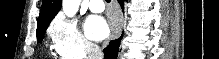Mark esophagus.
<instances>
[{
    "label": "esophagus",
    "mask_w": 219,
    "mask_h": 59,
    "mask_svg": "<svg viewBox=\"0 0 219 59\" xmlns=\"http://www.w3.org/2000/svg\"><path fill=\"white\" fill-rule=\"evenodd\" d=\"M120 27H118V28H112L111 29V34H110V39H116V38H118L119 36H120Z\"/></svg>",
    "instance_id": "1"
}]
</instances>
